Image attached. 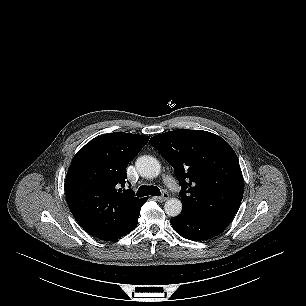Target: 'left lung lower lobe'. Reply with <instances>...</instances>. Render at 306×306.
<instances>
[{"label":"left lung lower lobe","instance_id":"left-lung-lower-lobe-1","mask_svg":"<svg viewBox=\"0 0 306 306\" xmlns=\"http://www.w3.org/2000/svg\"><path fill=\"white\" fill-rule=\"evenodd\" d=\"M230 221L182 209L181 214L171 219V224L180 236L193 241H201L220 234Z\"/></svg>","mask_w":306,"mask_h":306}]
</instances>
